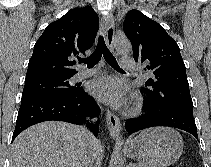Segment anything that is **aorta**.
<instances>
[{"label":"aorta","mask_w":211,"mask_h":167,"mask_svg":"<svg viewBox=\"0 0 211 167\" xmlns=\"http://www.w3.org/2000/svg\"><path fill=\"white\" fill-rule=\"evenodd\" d=\"M116 51L120 54L129 53L132 49L131 43L126 38L116 39L114 43ZM123 140L117 138L116 145L111 155L109 167H122L123 166V153H122Z\"/></svg>","instance_id":"762f6f07"}]
</instances>
